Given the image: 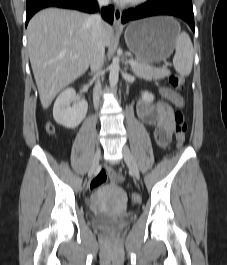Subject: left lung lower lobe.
Listing matches in <instances>:
<instances>
[{
    "instance_id": "1",
    "label": "left lung lower lobe",
    "mask_w": 227,
    "mask_h": 265,
    "mask_svg": "<svg viewBox=\"0 0 227 265\" xmlns=\"http://www.w3.org/2000/svg\"><path fill=\"white\" fill-rule=\"evenodd\" d=\"M155 15H172L186 21L194 31L192 0H148L146 3L128 9L122 14V23Z\"/></svg>"
}]
</instances>
